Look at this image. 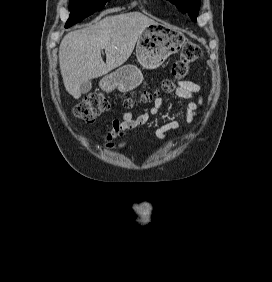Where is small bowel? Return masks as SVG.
I'll list each match as a JSON object with an SVG mask.
<instances>
[{
  "label": "small bowel",
  "mask_w": 272,
  "mask_h": 282,
  "mask_svg": "<svg viewBox=\"0 0 272 282\" xmlns=\"http://www.w3.org/2000/svg\"><path fill=\"white\" fill-rule=\"evenodd\" d=\"M200 89V86L196 83L183 81L180 83L176 93L177 96L181 99L191 100L200 92ZM202 103V97H198L197 101H190L186 104L183 115L186 122L193 123L198 118V109L202 105ZM161 104V99L157 98L153 101L152 105L149 108H145L143 113H141L137 117L134 118L132 113L127 112L120 120H114L112 131L107 135L108 146L110 148H123L124 144L115 146L113 140L124 136L125 131L128 129H133L138 126L144 125L151 115H155L160 111ZM178 128L179 123L177 121H167L156 130L155 135L159 140H164L166 138V133L169 130Z\"/></svg>",
  "instance_id": "c3829d8e"
}]
</instances>
